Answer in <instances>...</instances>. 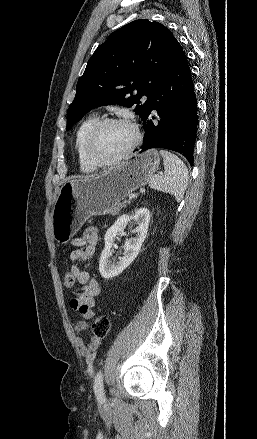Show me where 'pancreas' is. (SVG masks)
Returning a JSON list of instances; mask_svg holds the SVG:
<instances>
[{
	"mask_svg": "<svg viewBox=\"0 0 257 439\" xmlns=\"http://www.w3.org/2000/svg\"><path fill=\"white\" fill-rule=\"evenodd\" d=\"M127 204H128L127 201H124V202H122V203H118L116 206H114V207L111 209L110 213H111L112 215H118V214L121 212V209H122V208H125Z\"/></svg>",
	"mask_w": 257,
	"mask_h": 439,
	"instance_id": "1",
	"label": "pancreas"
}]
</instances>
